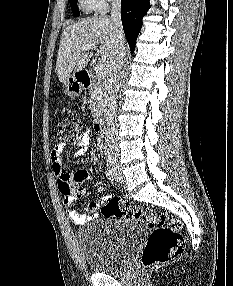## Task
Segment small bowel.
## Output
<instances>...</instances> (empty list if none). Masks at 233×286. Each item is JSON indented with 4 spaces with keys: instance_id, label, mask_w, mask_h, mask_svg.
I'll return each instance as SVG.
<instances>
[{
    "instance_id": "small-bowel-1",
    "label": "small bowel",
    "mask_w": 233,
    "mask_h": 286,
    "mask_svg": "<svg viewBox=\"0 0 233 286\" xmlns=\"http://www.w3.org/2000/svg\"><path fill=\"white\" fill-rule=\"evenodd\" d=\"M76 147V156H85L90 150V130L83 132L74 142ZM66 149L65 143H59L54 146L51 151V166L57 182L58 189L63 195V204L67 208L69 219L77 225H85L97 216V203H89L85 207L84 213H79L71 209V205L80 197H82L87 189L83 185L87 175L83 172L78 173L75 177H71L62 163V156ZM109 196L106 195L105 198Z\"/></svg>"
}]
</instances>
